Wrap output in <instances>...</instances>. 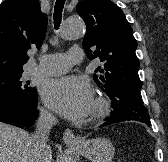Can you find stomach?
<instances>
[{
  "label": "stomach",
  "instance_id": "0dacf381",
  "mask_svg": "<svg viewBox=\"0 0 168 162\" xmlns=\"http://www.w3.org/2000/svg\"><path fill=\"white\" fill-rule=\"evenodd\" d=\"M74 148L91 162H111L115 154L112 143L102 137L86 140L81 146Z\"/></svg>",
  "mask_w": 168,
  "mask_h": 162
}]
</instances>
